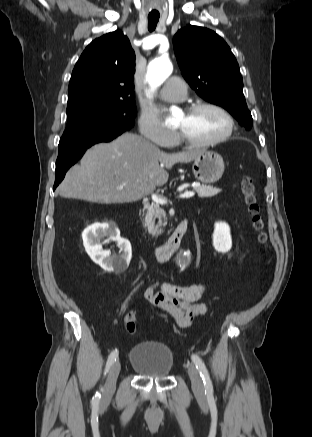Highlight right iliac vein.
Wrapping results in <instances>:
<instances>
[{"label":"right iliac vein","mask_w":312,"mask_h":437,"mask_svg":"<svg viewBox=\"0 0 312 437\" xmlns=\"http://www.w3.org/2000/svg\"><path fill=\"white\" fill-rule=\"evenodd\" d=\"M121 369V365L119 361H116L108 374L105 386H104V391H103V395H102V402H107L111 399L112 395L114 394L115 388H116V381L119 375Z\"/></svg>","instance_id":"obj_1"}]
</instances>
